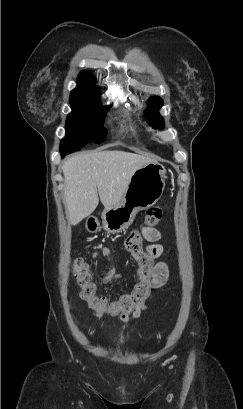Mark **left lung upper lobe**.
I'll return each instance as SVG.
<instances>
[{"instance_id": "5c2ea615", "label": "left lung upper lobe", "mask_w": 243, "mask_h": 409, "mask_svg": "<svg viewBox=\"0 0 243 409\" xmlns=\"http://www.w3.org/2000/svg\"><path fill=\"white\" fill-rule=\"evenodd\" d=\"M148 112L146 113V120L150 125L155 128L161 129L164 126L163 118L158 113V110L162 107L163 101L160 97H151L148 101Z\"/></svg>"}]
</instances>
